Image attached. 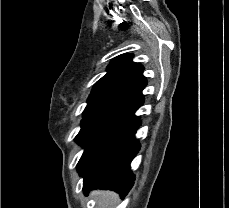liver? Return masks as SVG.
Returning <instances> with one entry per match:
<instances>
[{
    "mask_svg": "<svg viewBox=\"0 0 229 208\" xmlns=\"http://www.w3.org/2000/svg\"><path fill=\"white\" fill-rule=\"evenodd\" d=\"M94 196H98V208H114L118 202V194L115 192H93Z\"/></svg>",
    "mask_w": 229,
    "mask_h": 208,
    "instance_id": "1",
    "label": "liver"
}]
</instances>
